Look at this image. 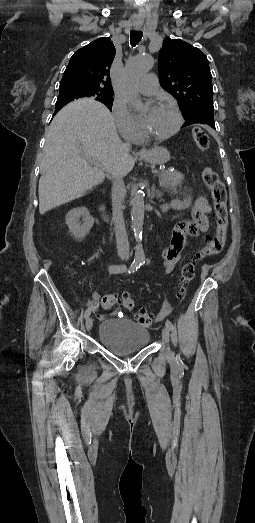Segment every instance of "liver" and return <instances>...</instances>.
I'll return each mask as SVG.
<instances>
[{
  "mask_svg": "<svg viewBox=\"0 0 255 523\" xmlns=\"http://www.w3.org/2000/svg\"><path fill=\"white\" fill-rule=\"evenodd\" d=\"M122 144L111 112L94 98H82L67 104L56 114L45 132L44 156L39 180V212L41 216L81 198L86 190L101 184L105 172L123 170L129 174L134 158H122ZM85 152V156H83ZM94 160L101 166L92 168Z\"/></svg>",
  "mask_w": 255,
  "mask_h": 523,
  "instance_id": "obj_1",
  "label": "liver"
}]
</instances>
